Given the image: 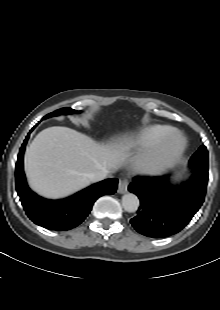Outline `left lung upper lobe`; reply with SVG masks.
Listing matches in <instances>:
<instances>
[{"label":"left lung upper lobe","instance_id":"left-lung-upper-lobe-1","mask_svg":"<svg viewBox=\"0 0 220 310\" xmlns=\"http://www.w3.org/2000/svg\"><path fill=\"white\" fill-rule=\"evenodd\" d=\"M193 170L208 171V151L205 146H201L191 157L189 161Z\"/></svg>","mask_w":220,"mask_h":310}]
</instances>
